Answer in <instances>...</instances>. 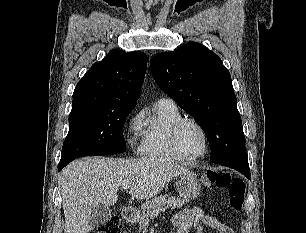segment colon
<instances>
[{"instance_id": "obj_1", "label": "colon", "mask_w": 306, "mask_h": 233, "mask_svg": "<svg viewBox=\"0 0 306 233\" xmlns=\"http://www.w3.org/2000/svg\"><path fill=\"white\" fill-rule=\"evenodd\" d=\"M206 188L227 187L229 191V205L235 211H241L244 207L246 182L239 177H231L229 174H219L207 171L202 178ZM119 218L111 216L96 233H120Z\"/></svg>"}]
</instances>
